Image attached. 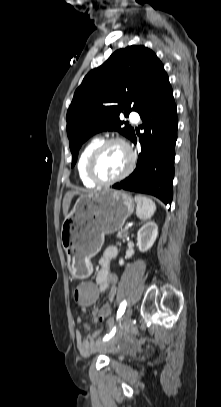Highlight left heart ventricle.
I'll return each mask as SVG.
<instances>
[{
	"instance_id": "left-heart-ventricle-1",
	"label": "left heart ventricle",
	"mask_w": 221,
	"mask_h": 407,
	"mask_svg": "<svg viewBox=\"0 0 221 407\" xmlns=\"http://www.w3.org/2000/svg\"><path fill=\"white\" fill-rule=\"evenodd\" d=\"M129 163L125 148L118 144L107 147L98 157L95 172L101 179H111L121 174Z\"/></svg>"
}]
</instances>
